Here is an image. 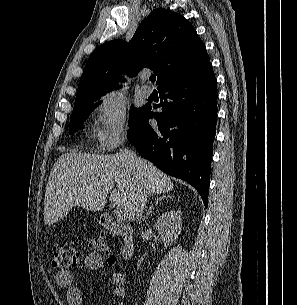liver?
I'll return each instance as SVG.
<instances>
[{"instance_id":"1","label":"liver","mask_w":297,"mask_h":305,"mask_svg":"<svg viewBox=\"0 0 297 305\" xmlns=\"http://www.w3.org/2000/svg\"><path fill=\"white\" fill-rule=\"evenodd\" d=\"M141 172L128 164L124 152L95 155L69 152L62 154L51 169L45 191L44 224L61 220L72 207L99 211L110 201L124 209L130 220L135 217L137 186L149 195L170 192L174 185L169 176L147 160L139 158Z\"/></svg>"}]
</instances>
